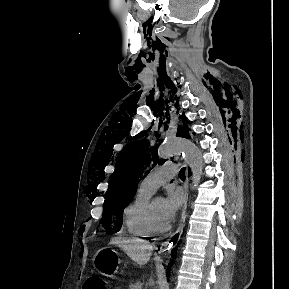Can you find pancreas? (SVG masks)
<instances>
[{
    "instance_id": "obj_1",
    "label": "pancreas",
    "mask_w": 289,
    "mask_h": 289,
    "mask_svg": "<svg viewBox=\"0 0 289 289\" xmlns=\"http://www.w3.org/2000/svg\"><path fill=\"white\" fill-rule=\"evenodd\" d=\"M129 289H142V283L136 282L135 284H130Z\"/></svg>"
}]
</instances>
